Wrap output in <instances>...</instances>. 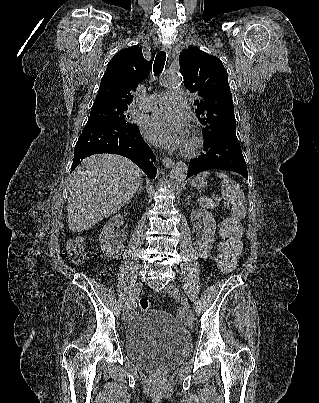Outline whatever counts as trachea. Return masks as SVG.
Instances as JSON below:
<instances>
[{"label": "trachea", "instance_id": "trachea-1", "mask_svg": "<svg viewBox=\"0 0 319 403\" xmlns=\"http://www.w3.org/2000/svg\"><path fill=\"white\" fill-rule=\"evenodd\" d=\"M165 61H166V52L164 51L159 52L155 57L153 65V71L155 75H158L163 71Z\"/></svg>", "mask_w": 319, "mask_h": 403}]
</instances>
